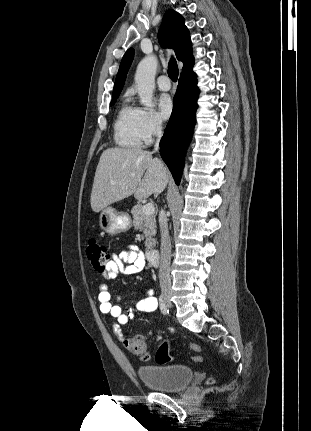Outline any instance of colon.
<instances>
[{
    "label": "colon",
    "mask_w": 311,
    "mask_h": 431,
    "mask_svg": "<svg viewBox=\"0 0 311 431\" xmlns=\"http://www.w3.org/2000/svg\"><path fill=\"white\" fill-rule=\"evenodd\" d=\"M87 257L93 266V268L100 274H104L106 270V263L110 259V254L105 245L98 241H90L86 248ZM125 348L132 354L146 360L150 357L147 343L143 336L137 335L124 341ZM189 348L195 352L202 350L198 344H190ZM170 342L165 340L159 346L156 353V361L160 364H164L170 360ZM194 362H201L202 357L200 355H194L191 357Z\"/></svg>",
    "instance_id": "obj_1"
}]
</instances>
